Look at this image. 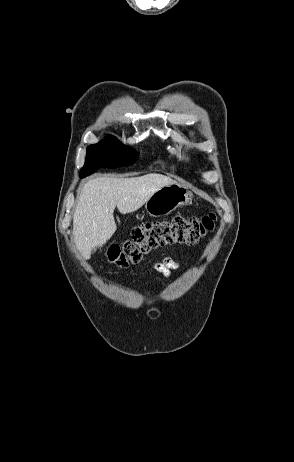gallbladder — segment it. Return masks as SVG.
Here are the masks:
<instances>
[{"label": "gallbladder", "mask_w": 294, "mask_h": 462, "mask_svg": "<svg viewBox=\"0 0 294 462\" xmlns=\"http://www.w3.org/2000/svg\"><path fill=\"white\" fill-rule=\"evenodd\" d=\"M94 251H95V248L92 250V252H94Z\"/></svg>", "instance_id": "gallbladder-1"}]
</instances>
